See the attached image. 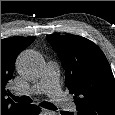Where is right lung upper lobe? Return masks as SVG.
<instances>
[{
  "label": "right lung upper lobe",
  "instance_id": "obj_1",
  "mask_svg": "<svg viewBox=\"0 0 115 115\" xmlns=\"http://www.w3.org/2000/svg\"><path fill=\"white\" fill-rule=\"evenodd\" d=\"M35 37H11L1 40V115H17L25 104L14 103L8 94V83L12 79L18 54L28 47Z\"/></svg>",
  "mask_w": 115,
  "mask_h": 115
}]
</instances>
